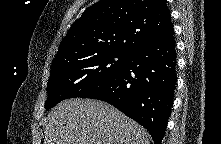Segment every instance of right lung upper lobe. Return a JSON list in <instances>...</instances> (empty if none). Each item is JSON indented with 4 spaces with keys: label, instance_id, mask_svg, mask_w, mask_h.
Masks as SVG:
<instances>
[{
    "label": "right lung upper lobe",
    "instance_id": "1",
    "mask_svg": "<svg viewBox=\"0 0 221 144\" xmlns=\"http://www.w3.org/2000/svg\"><path fill=\"white\" fill-rule=\"evenodd\" d=\"M171 28L165 0H101L70 27L52 69L105 52L130 54Z\"/></svg>",
    "mask_w": 221,
    "mask_h": 144
}]
</instances>
